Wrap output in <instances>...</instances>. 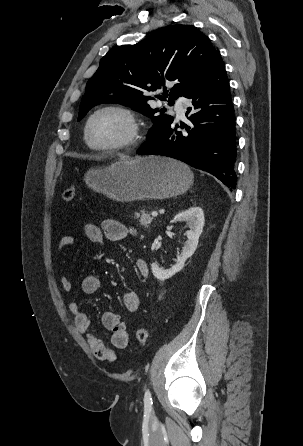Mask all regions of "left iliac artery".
Listing matches in <instances>:
<instances>
[{
    "instance_id": "1",
    "label": "left iliac artery",
    "mask_w": 303,
    "mask_h": 446,
    "mask_svg": "<svg viewBox=\"0 0 303 446\" xmlns=\"http://www.w3.org/2000/svg\"><path fill=\"white\" fill-rule=\"evenodd\" d=\"M152 397H151V392L150 390H146L145 395H144V408L146 411L150 412L152 410Z\"/></svg>"
}]
</instances>
